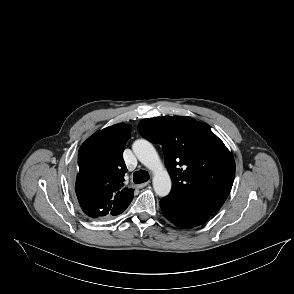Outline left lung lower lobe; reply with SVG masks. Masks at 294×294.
I'll return each instance as SVG.
<instances>
[{"mask_svg": "<svg viewBox=\"0 0 294 294\" xmlns=\"http://www.w3.org/2000/svg\"><path fill=\"white\" fill-rule=\"evenodd\" d=\"M160 206L169 221L184 229L204 224L212 214L191 203L177 201L168 196L160 200Z\"/></svg>", "mask_w": 294, "mask_h": 294, "instance_id": "obj_1", "label": "left lung lower lobe"}]
</instances>
